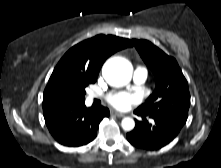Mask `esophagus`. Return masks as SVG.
I'll return each instance as SVG.
<instances>
[{
    "label": "esophagus",
    "mask_w": 221,
    "mask_h": 168,
    "mask_svg": "<svg viewBox=\"0 0 221 168\" xmlns=\"http://www.w3.org/2000/svg\"><path fill=\"white\" fill-rule=\"evenodd\" d=\"M111 114L114 115V116H117L119 118L125 117V115L123 113H119V112H116V111H112Z\"/></svg>",
    "instance_id": "1"
}]
</instances>
